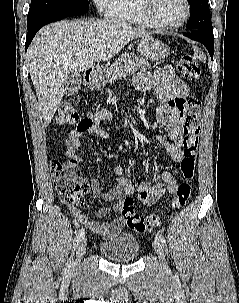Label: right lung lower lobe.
<instances>
[{
	"label": "right lung lower lobe",
	"instance_id": "98d812e1",
	"mask_svg": "<svg viewBox=\"0 0 239 303\" xmlns=\"http://www.w3.org/2000/svg\"><path fill=\"white\" fill-rule=\"evenodd\" d=\"M88 10H74V11H65V12H51L46 13L43 16H40L38 18H35L31 21H27V37H26V43H25V50H27L29 44L33 40L35 34L37 31L43 27L44 25L59 21L63 18L74 16V15H80L86 13Z\"/></svg>",
	"mask_w": 239,
	"mask_h": 303
}]
</instances>
